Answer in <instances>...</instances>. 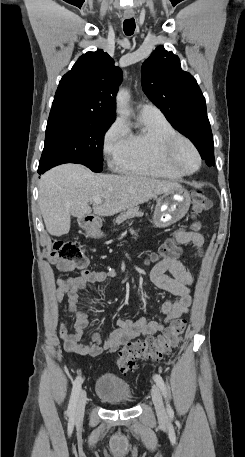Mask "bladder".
I'll list each match as a JSON object with an SVG mask.
<instances>
[{"label":"bladder","instance_id":"31cf9c89","mask_svg":"<svg viewBox=\"0 0 245 457\" xmlns=\"http://www.w3.org/2000/svg\"><path fill=\"white\" fill-rule=\"evenodd\" d=\"M97 397L104 400L106 405L128 406L131 399L129 383L122 382L117 376L103 374L97 382Z\"/></svg>","mask_w":245,"mask_h":457}]
</instances>
